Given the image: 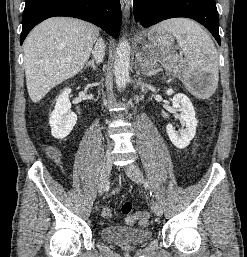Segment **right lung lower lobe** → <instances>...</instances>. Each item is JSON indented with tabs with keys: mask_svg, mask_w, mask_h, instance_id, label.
I'll return each instance as SVG.
<instances>
[{
	"mask_svg": "<svg viewBox=\"0 0 247 257\" xmlns=\"http://www.w3.org/2000/svg\"><path fill=\"white\" fill-rule=\"evenodd\" d=\"M54 16H67L91 22L114 38L121 27L119 0H25L20 44L31 29Z\"/></svg>",
	"mask_w": 247,
	"mask_h": 257,
	"instance_id": "obj_1",
	"label": "right lung lower lobe"
}]
</instances>
